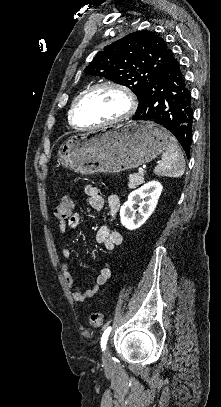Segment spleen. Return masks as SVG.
<instances>
[{
	"label": "spleen",
	"mask_w": 221,
	"mask_h": 407,
	"mask_svg": "<svg viewBox=\"0 0 221 407\" xmlns=\"http://www.w3.org/2000/svg\"><path fill=\"white\" fill-rule=\"evenodd\" d=\"M185 171V159L175 137L169 136L162 161L155 167L158 176L179 178Z\"/></svg>",
	"instance_id": "1"
}]
</instances>
